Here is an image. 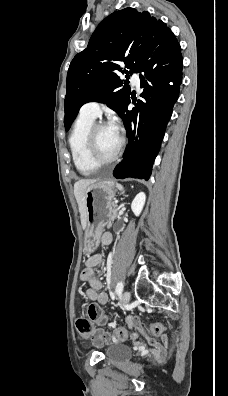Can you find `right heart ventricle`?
Instances as JSON below:
<instances>
[{"mask_svg": "<svg viewBox=\"0 0 228 396\" xmlns=\"http://www.w3.org/2000/svg\"><path fill=\"white\" fill-rule=\"evenodd\" d=\"M95 118L80 114L69 137V146L72 158L77 169L84 175H90L97 171L86 154V139L89 129Z\"/></svg>", "mask_w": 228, "mask_h": 396, "instance_id": "1", "label": "right heart ventricle"}]
</instances>
